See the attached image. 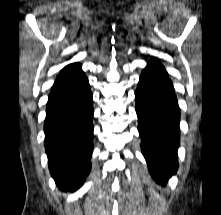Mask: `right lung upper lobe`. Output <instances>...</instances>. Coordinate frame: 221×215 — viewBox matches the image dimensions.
<instances>
[{
	"label": "right lung upper lobe",
	"mask_w": 221,
	"mask_h": 215,
	"mask_svg": "<svg viewBox=\"0 0 221 215\" xmlns=\"http://www.w3.org/2000/svg\"><path fill=\"white\" fill-rule=\"evenodd\" d=\"M79 72H81L80 64H78V63L69 64L61 70V72L58 75L55 83L61 82L65 79H68V78L74 76L75 74H77Z\"/></svg>",
	"instance_id": "right-lung-upper-lobe-1"
}]
</instances>
